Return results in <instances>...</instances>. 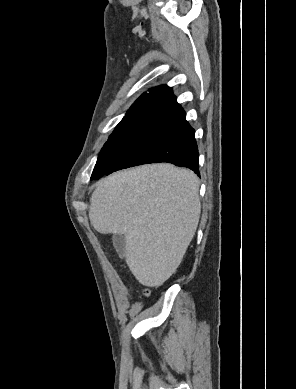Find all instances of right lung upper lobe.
Instances as JSON below:
<instances>
[{
	"instance_id": "1",
	"label": "right lung upper lobe",
	"mask_w": 296,
	"mask_h": 389,
	"mask_svg": "<svg viewBox=\"0 0 296 389\" xmlns=\"http://www.w3.org/2000/svg\"><path fill=\"white\" fill-rule=\"evenodd\" d=\"M149 91V94L144 93L135 101L123 120L142 116H158L181 121L186 117L170 87L162 85Z\"/></svg>"
}]
</instances>
